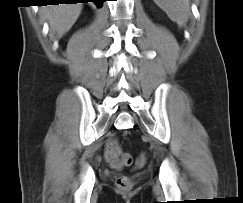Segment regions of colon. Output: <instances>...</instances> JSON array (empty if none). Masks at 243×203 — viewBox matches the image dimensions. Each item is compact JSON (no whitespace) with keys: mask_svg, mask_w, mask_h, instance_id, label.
Returning a JSON list of instances; mask_svg holds the SVG:
<instances>
[{"mask_svg":"<svg viewBox=\"0 0 243 203\" xmlns=\"http://www.w3.org/2000/svg\"><path fill=\"white\" fill-rule=\"evenodd\" d=\"M146 160L145 155H142L139 160V164H142ZM117 162L123 166H128L132 162V158L128 153L122 152L119 149L117 154ZM133 181L128 176H121L117 179V187L125 192L131 191L133 188Z\"/></svg>","mask_w":243,"mask_h":203,"instance_id":"obj_1","label":"colon"}]
</instances>
